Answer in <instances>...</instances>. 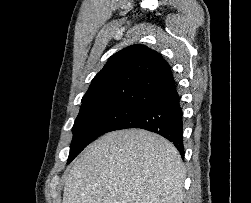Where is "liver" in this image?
Returning a JSON list of instances; mask_svg holds the SVG:
<instances>
[{
  "label": "liver",
  "mask_w": 251,
  "mask_h": 203,
  "mask_svg": "<svg viewBox=\"0 0 251 203\" xmlns=\"http://www.w3.org/2000/svg\"><path fill=\"white\" fill-rule=\"evenodd\" d=\"M185 177L179 152L162 136L113 131L65 174L62 203H182Z\"/></svg>",
  "instance_id": "1"
}]
</instances>
